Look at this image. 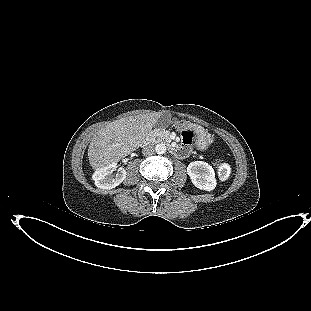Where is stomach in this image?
Masks as SVG:
<instances>
[{
    "label": "stomach",
    "mask_w": 311,
    "mask_h": 311,
    "mask_svg": "<svg viewBox=\"0 0 311 311\" xmlns=\"http://www.w3.org/2000/svg\"><path fill=\"white\" fill-rule=\"evenodd\" d=\"M177 128L179 130H182L183 128H185V125L177 124ZM209 144L210 139L208 138V136L204 132H199L196 144L197 148L201 151H204L208 148Z\"/></svg>",
    "instance_id": "0dacf381"
}]
</instances>
